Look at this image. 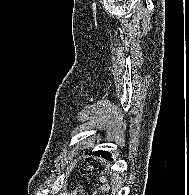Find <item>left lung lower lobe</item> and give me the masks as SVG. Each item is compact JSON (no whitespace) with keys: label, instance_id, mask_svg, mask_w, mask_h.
Wrapping results in <instances>:
<instances>
[{"label":"left lung lower lobe","instance_id":"obj_1","mask_svg":"<svg viewBox=\"0 0 189 195\" xmlns=\"http://www.w3.org/2000/svg\"><path fill=\"white\" fill-rule=\"evenodd\" d=\"M91 154L98 155V156L101 155V157L111 160V158H110V156H111L110 153L105 152V151L93 152V153H91Z\"/></svg>","mask_w":189,"mask_h":195}]
</instances>
